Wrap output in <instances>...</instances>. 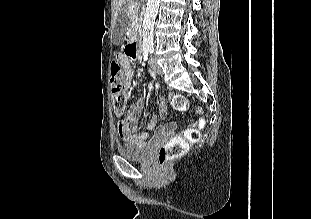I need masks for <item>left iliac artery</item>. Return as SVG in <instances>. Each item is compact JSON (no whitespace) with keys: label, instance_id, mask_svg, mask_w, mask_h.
<instances>
[{"label":"left iliac artery","instance_id":"obj_1","mask_svg":"<svg viewBox=\"0 0 311 219\" xmlns=\"http://www.w3.org/2000/svg\"><path fill=\"white\" fill-rule=\"evenodd\" d=\"M150 52L153 53V49H150Z\"/></svg>","mask_w":311,"mask_h":219}]
</instances>
